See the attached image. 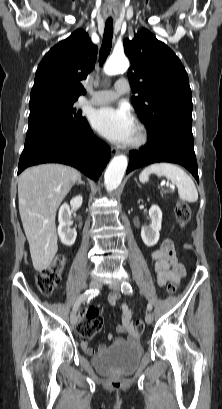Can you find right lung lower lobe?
<instances>
[{
    "label": "right lung lower lobe",
    "mask_w": 222,
    "mask_h": 409,
    "mask_svg": "<svg viewBox=\"0 0 222 409\" xmlns=\"http://www.w3.org/2000/svg\"><path fill=\"white\" fill-rule=\"evenodd\" d=\"M110 156L109 146L94 136L87 124L72 136L42 133L25 142L18 174L32 165L55 162L74 166L97 180Z\"/></svg>",
    "instance_id": "98d812e1"
}]
</instances>
